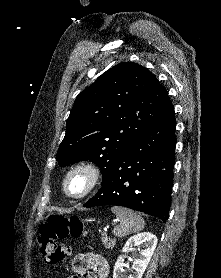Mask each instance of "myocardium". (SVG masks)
<instances>
[{
  "label": "myocardium",
  "instance_id": "obj_1",
  "mask_svg": "<svg viewBox=\"0 0 221 278\" xmlns=\"http://www.w3.org/2000/svg\"><path fill=\"white\" fill-rule=\"evenodd\" d=\"M77 174L85 178L83 189L78 193H70L68 190L70 179ZM102 179V170L94 161L83 160L72 165L66 172L63 179V191L65 195L72 200H82L91 194L99 185Z\"/></svg>",
  "mask_w": 221,
  "mask_h": 278
}]
</instances>
